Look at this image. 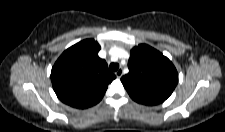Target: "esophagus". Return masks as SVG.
I'll use <instances>...</instances> for the list:
<instances>
[{
  "instance_id": "34e87169",
  "label": "esophagus",
  "mask_w": 225,
  "mask_h": 132,
  "mask_svg": "<svg viewBox=\"0 0 225 132\" xmlns=\"http://www.w3.org/2000/svg\"><path fill=\"white\" fill-rule=\"evenodd\" d=\"M115 75L117 78H120L122 75H123V70L122 69H118L116 72H115Z\"/></svg>"
}]
</instances>
